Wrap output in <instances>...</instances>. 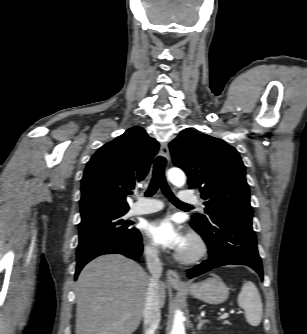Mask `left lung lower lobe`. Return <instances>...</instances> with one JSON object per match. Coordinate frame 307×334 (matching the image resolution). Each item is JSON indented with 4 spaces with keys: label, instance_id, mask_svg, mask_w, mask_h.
Listing matches in <instances>:
<instances>
[{
    "label": "left lung lower lobe",
    "instance_id": "left-lung-lower-lobe-1",
    "mask_svg": "<svg viewBox=\"0 0 307 334\" xmlns=\"http://www.w3.org/2000/svg\"><path fill=\"white\" fill-rule=\"evenodd\" d=\"M209 248V259L188 271V277L199 276L214 268L229 265H247L263 279L261 259L257 250L252 221L234 217H221L202 229L191 223Z\"/></svg>",
    "mask_w": 307,
    "mask_h": 334
}]
</instances>
